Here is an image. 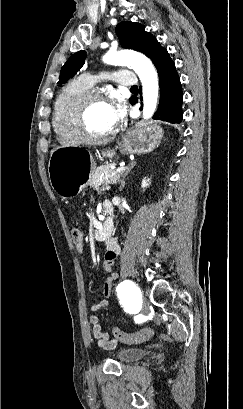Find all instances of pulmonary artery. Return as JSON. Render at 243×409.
Returning a JSON list of instances; mask_svg holds the SVG:
<instances>
[{"instance_id": "1", "label": "pulmonary artery", "mask_w": 243, "mask_h": 409, "mask_svg": "<svg viewBox=\"0 0 243 409\" xmlns=\"http://www.w3.org/2000/svg\"><path fill=\"white\" fill-rule=\"evenodd\" d=\"M110 77L120 86L132 87L136 86L138 81L134 73L128 70H120L113 72ZM81 79L89 86L92 87L96 82V77L90 74L82 75Z\"/></svg>"}]
</instances>
